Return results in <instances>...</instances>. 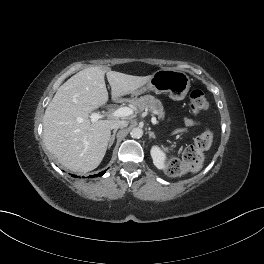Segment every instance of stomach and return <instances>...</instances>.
<instances>
[{
  "label": "stomach",
  "mask_w": 264,
  "mask_h": 264,
  "mask_svg": "<svg viewBox=\"0 0 264 264\" xmlns=\"http://www.w3.org/2000/svg\"><path fill=\"white\" fill-rule=\"evenodd\" d=\"M189 89L190 79L186 73L174 69H161L151 75L145 86L133 91L132 94L137 96L146 91L168 93L171 99L180 101L185 98Z\"/></svg>",
  "instance_id": "0dacf381"
}]
</instances>
